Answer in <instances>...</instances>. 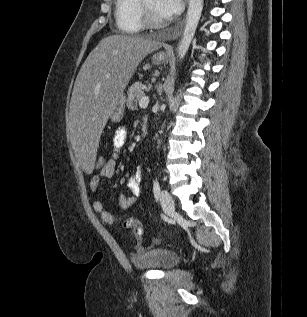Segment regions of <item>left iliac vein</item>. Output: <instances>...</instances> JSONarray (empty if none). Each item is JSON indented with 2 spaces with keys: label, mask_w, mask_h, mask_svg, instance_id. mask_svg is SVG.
Instances as JSON below:
<instances>
[{
  "label": "left iliac vein",
  "mask_w": 307,
  "mask_h": 317,
  "mask_svg": "<svg viewBox=\"0 0 307 317\" xmlns=\"http://www.w3.org/2000/svg\"><path fill=\"white\" fill-rule=\"evenodd\" d=\"M160 202L166 213L171 214L174 212L175 210L174 200L167 190L161 191Z\"/></svg>",
  "instance_id": "left-iliac-vein-1"
}]
</instances>
